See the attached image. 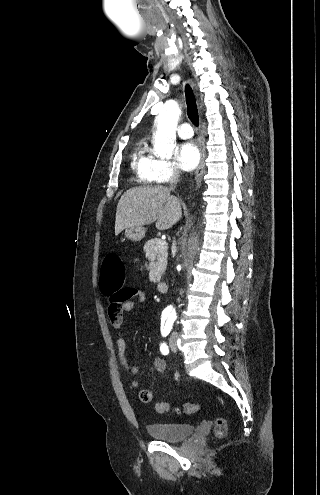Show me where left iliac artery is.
I'll return each instance as SVG.
<instances>
[{
	"label": "left iliac artery",
	"instance_id": "obj_1",
	"mask_svg": "<svg viewBox=\"0 0 320 495\" xmlns=\"http://www.w3.org/2000/svg\"><path fill=\"white\" fill-rule=\"evenodd\" d=\"M172 325H173V321L171 319H167L166 321H162L161 323V334L163 337H166L171 329H172ZM160 351L163 355H167L169 350H168V346L166 345V343H161L160 345Z\"/></svg>",
	"mask_w": 320,
	"mask_h": 495
}]
</instances>
